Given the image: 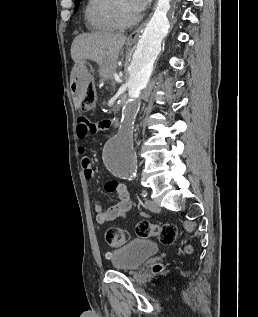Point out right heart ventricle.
I'll list each match as a JSON object with an SVG mask.
<instances>
[{
	"mask_svg": "<svg viewBox=\"0 0 258 317\" xmlns=\"http://www.w3.org/2000/svg\"><path fill=\"white\" fill-rule=\"evenodd\" d=\"M117 0H88L84 8L87 26L98 33H110L116 30L111 19L110 10Z\"/></svg>",
	"mask_w": 258,
	"mask_h": 317,
	"instance_id": "e07e8e85",
	"label": "right heart ventricle"
}]
</instances>
